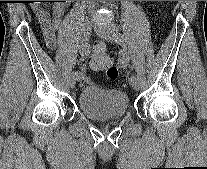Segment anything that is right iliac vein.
Here are the masks:
<instances>
[{
  "mask_svg": "<svg viewBox=\"0 0 207 169\" xmlns=\"http://www.w3.org/2000/svg\"><path fill=\"white\" fill-rule=\"evenodd\" d=\"M91 31H92V23H91V21H86L83 24V35H84L85 40H87L90 37ZM68 81H69L70 86L74 87L76 84L77 78H76V76L71 74L69 76Z\"/></svg>",
  "mask_w": 207,
  "mask_h": 169,
  "instance_id": "63e3f726",
  "label": "right iliac vein"
}]
</instances>
